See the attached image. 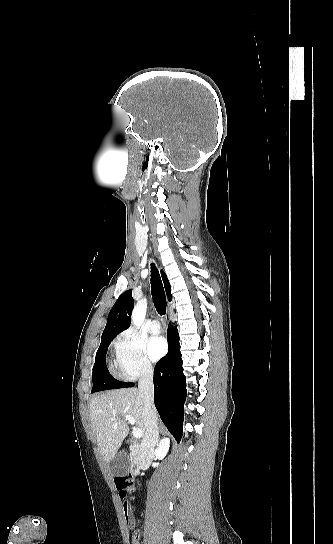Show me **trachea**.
I'll list each match as a JSON object with an SVG mask.
<instances>
[{"instance_id":"1","label":"trachea","mask_w":333,"mask_h":544,"mask_svg":"<svg viewBox=\"0 0 333 544\" xmlns=\"http://www.w3.org/2000/svg\"><path fill=\"white\" fill-rule=\"evenodd\" d=\"M151 291L154 306L160 315L166 313V296L163 288V284L157 268L154 263L151 264Z\"/></svg>"}]
</instances>
